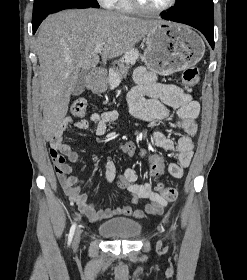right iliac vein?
Returning <instances> with one entry per match:
<instances>
[{
  "label": "right iliac vein",
  "mask_w": 247,
  "mask_h": 280,
  "mask_svg": "<svg viewBox=\"0 0 247 280\" xmlns=\"http://www.w3.org/2000/svg\"><path fill=\"white\" fill-rule=\"evenodd\" d=\"M80 236H81V230H78L77 233H76L74 242H73V248H74V249H77V247H78V245H79Z\"/></svg>",
  "instance_id": "1"
}]
</instances>
